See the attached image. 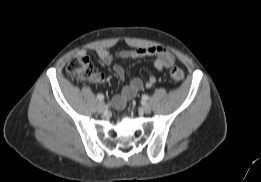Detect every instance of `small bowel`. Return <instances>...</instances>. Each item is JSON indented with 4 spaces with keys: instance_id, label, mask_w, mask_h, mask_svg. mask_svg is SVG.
<instances>
[{
    "instance_id": "obj_1",
    "label": "small bowel",
    "mask_w": 261,
    "mask_h": 182,
    "mask_svg": "<svg viewBox=\"0 0 261 182\" xmlns=\"http://www.w3.org/2000/svg\"><path fill=\"white\" fill-rule=\"evenodd\" d=\"M79 56H86L85 51H79ZM96 55L99 60L109 66L113 65V71L118 81H124L125 70L117 63H114L118 59H139L144 57H153L154 66L158 71L168 69L172 67L175 63L174 56L164 47L154 46V47H139L134 50H121L114 54L109 52L104 48H98L96 50ZM92 80L95 83L102 84L105 81V76L101 73H96ZM156 82V77L151 75L144 82L141 78H133L128 85H126L120 94L116 95L112 99V104L116 109H122L127 100L133 98L144 86L150 88Z\"/></svg>"
}]
</instances>
